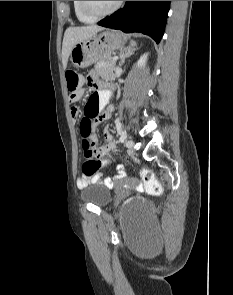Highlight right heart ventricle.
<instances>
[{
	"mask_svg": "<svg viewBox=\"0 0 233 295\" xmlns=\"http://www.w3.org/2000/svg\"><path fill=\"white\" fill-rule=\"evenodd\" d=\"M72 7L76 18L83 23L93 22L95 19L84 14L79 5V1H72Z\"/></svg>",
	"mask_w": 233,
	"mask_h": 295,
	"instance_id": "e07e8e85",
	"label": "right heart ventricle"
}]
</instances>
